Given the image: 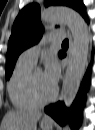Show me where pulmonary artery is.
Segmentation results:
<instances>
[{
    "instance_id": "e3ab8cb5",
    "label": "pulmonary artery",
    "mask_w": 95,
    "mask_h": 130,
    "mask_svg": "<svg viewBox=\"0 0 95 130\" xmlns=\"http://www.w3.org/2000/svg\"><path fill=\"white\" fill-rule=\"evenodd\" d=\"M63 37H64V33L61 30L46 33L38 44H35V45L29 47L28 49H26L20 55L19 59L34 65L37 61L41 48L46 43H48V42L59 43L60 41H62Z\"/></svg>"
}]
</instances>
